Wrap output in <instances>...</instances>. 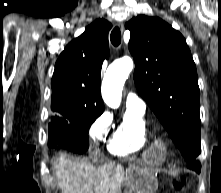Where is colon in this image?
I'll return each instance as SVG.
<instances>
[{
    "label": "colon",
    "instance_id": "obj_1",
    "mask_svg": "<svg viewBox=\"0 0 221 193\" xmlns=\"http://www.w3.org/2000/svg\"><path fill=\"white\" fill-rule=\"evenodd\" d=\"M172 187L177 190L181 191L185 186V180L183 176H175L171 180Z\"/></svg>",
    "mask_w": 221,
    "mask_h": 193
}]
</instances>
